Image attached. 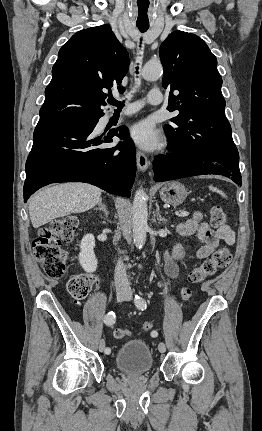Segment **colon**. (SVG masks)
<instances>
[{
  "label": "colon",
  "mask_w": 262,
  "mask_h": 431,
  "mask_svg": "<svg viewBox=\"0 0 262 431\" xmlns=\"http://www.w3.org/2000/svg\"><path fill=\"white\" fill-rule=\"evenodd\" d=\"M228 219V215L222 209L214 208L212 210L211 222L213 226H225ZM77 230L78 221L72 217L58 219L39 230L33 241V252L49 278L60 280L66 275V253L62 248V243L72 241ZM230 259L231 253L227 248L217 249L209 258L190 272L188 276L189 283H202L205 278L215 274L218 269L225 267L230 262ZM91 286L92 280L89 275L76 274L70 278L68 290L75 301H81L88 295ZM191 294L192 291L189 287L182 288L181 297L184 301H188ZM152 328L153 323L151 321L144 322L142 326L145 332L151 331ZM126 335L127 332L123 329L113 331L115 339H123Z\"/></svg>",
  "instance_id": "1"
}]
</instances>
